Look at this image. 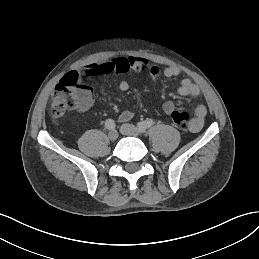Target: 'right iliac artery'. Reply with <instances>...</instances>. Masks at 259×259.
<instances>
[{
    "label": "right iliac artery",
    "instance_id": "obj_1",
    "mask_svg": "<svg viewBox=\"0 0 259 259\" xmlns=\"http://www.w3.org/2000/svg\"><path fill=\"white\" fill-rule=\"evenodd\" d=\"M105 126L108 130H113L115 129V122L112 119H108L105 122Z\"/></svg>",
    "mask_w": 259,
    "mask_h": 259
}]
</instances>
